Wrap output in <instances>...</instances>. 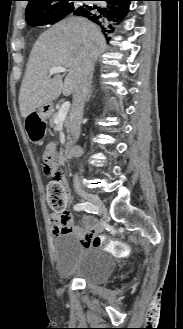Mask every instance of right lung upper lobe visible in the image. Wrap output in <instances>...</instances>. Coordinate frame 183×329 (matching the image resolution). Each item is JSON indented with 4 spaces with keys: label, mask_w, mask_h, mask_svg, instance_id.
<instances>
[{
    "label": "right lung upper lobe",
    "mask_w": 183,
    "mask_h": 329,
    "mask_svg": "<svg viewBox=\"0 0 183 329\" xmlns=\"http://www.w3.org/2000/svg\"><path fill=\"white\" fill-rule=\"evenodd\" d=\"M29 4L26 8V21L30 23L32 20H43L52 15V10L58 4H62L68 0H28Z\"/></svg>",
    "instance_id": "1"
}]
</instances>
